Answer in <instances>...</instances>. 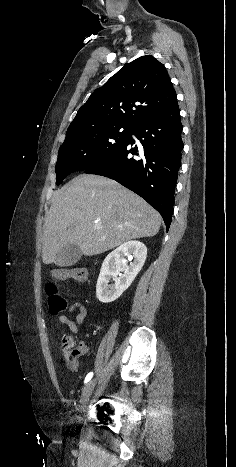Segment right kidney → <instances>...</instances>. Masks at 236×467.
Here are the masks:
<instances>
[{"label":"right kidney","mask_w":236,"mask_h":467,"mask_svg":"<svg viewBox=\"0 0 236 467\" xmlns=\"http://www.w3.org/2000/svg\"><path fill=\"white\" fill-rule=\"evenodd\" d=\"M130 254L134 258L128 265L125 256ZM146 256L147 248L139 241H128L108 254L97 280V299L102 303H110L119 298L143 267ZM112 280L114 283L110 284Z\"/></svg>","instance_id":"right-kidney-1"}]
</instances>
